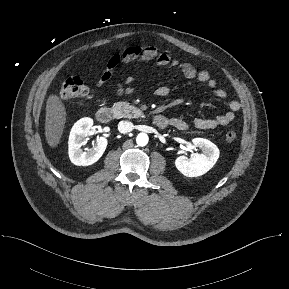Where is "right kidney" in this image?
Here are the masks:
<instances>
[{
    "label": "right kidney",
    "mask_w": 289,
    "mask_h": 289,
    "mask_svg": "<svg viewBox=\"0 0 289 289\" xmlns=\"http://www.w3.org/2000/svg\"><path fill=\"white\" fill-rule=\"evenodd\" d=\"M92 126L93 120L86 117L78 120L71 129L68 141V153L74 165L88 166L94 164L101 158L107 147V139L97 137L92 148L87 150L82 149V145H84Z\"/></svg>",
    "instance_id": "1"
}]
</instances>
